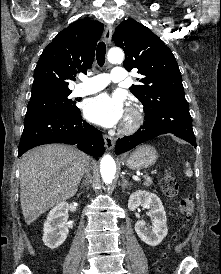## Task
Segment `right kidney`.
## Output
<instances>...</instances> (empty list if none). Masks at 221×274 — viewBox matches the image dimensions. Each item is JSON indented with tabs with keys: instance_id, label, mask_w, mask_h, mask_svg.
<instances>
[{
	"instance_id": "ca27d5eb",
	"label": "right kidney",
	"mask_w": 221,
	"mask_h": 274,
	"mask_svg": "<svg viewBox=\"0 0 221 274\" xmlns=\"http://www.w3.org/2000/svg\"><path fill=\"white\" fill-rule=\"evenodd\" d=\"M67 202L57 204L48 214L43 228V242L50 249H56L66 240L69 233Z\"/></svg>"
}]
</instances>
